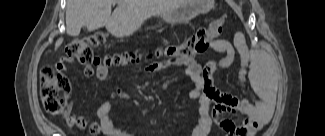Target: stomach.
Here are the masks:
<instances>
[{
  "label": "stomach",
  "mask_w": 325,
  "mask_h": 136,
  "mask_svg": "<svg viewBox=\"0 0 325 136\" xmlns=\"http://www.w3.org/2000/svg\"><path fill=\"white\" fill-rule=\"evenodd\" d=\"M212 6L213 0H184L177 8L164 12L162 17L167 23H179L208 12Z\"/></svg>",
  "instance_id": "stomach-1"
}]
</instances>
